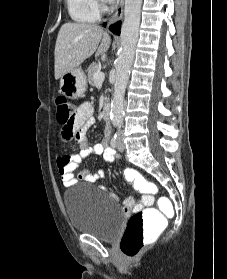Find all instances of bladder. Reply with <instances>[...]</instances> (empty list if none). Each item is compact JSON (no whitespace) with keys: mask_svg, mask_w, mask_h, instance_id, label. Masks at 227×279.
Returning <instances> with one entry per match:
<instances>
[{"mask_svg":"<svg viewBox=\"0 0 227 279\" xmlns=\"http://www.w3.org/2000/svg\"><path fill=\"white\" fill-rule=\"evenodd\" d=\"M63 205L71 225L102 241L114 240L123 228L120 204L101 192L95 195L83 185L67 191Z\"/></svg>","mask_w":227,"mask_h":279,"instance_id":"obj_1","label":"bladder"}]
</instances>
